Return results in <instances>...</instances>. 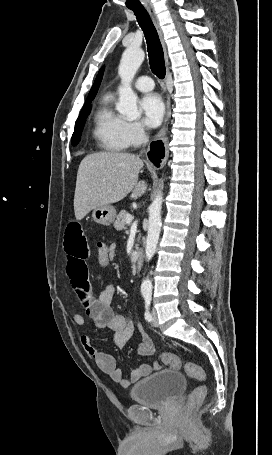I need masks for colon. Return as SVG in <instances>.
<instances>
[{
	"label": "colon",
	"instance_id": "obj_1",
	"mask_svg": "<svg viewBox=\"0 0 272 455\" xmlns=\"http://www.w3.org/2000/svg\"><path fill=\"white\" fill-rule=\"evenodd\" d=\"M110 261L111 257L108 245L104 241L98 242L99 268L101 270H106ZM98 279H101V275H98ZM162 359L172 369L179 370L183 368L191 378L197 380L200 383L190 393L186 403V412L189 414L193 413L197 406L202 402L206 393V387L203 384L206 379V373L204 369L193 362H186L183 365L181 359L177 355L171 353H164L162 355Z\"/></svg>",
	"mask_w": 272,
	"mask_h": 455
}]
</instances>
